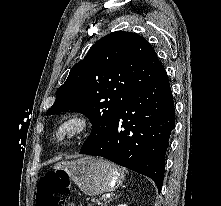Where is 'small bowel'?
<instances>
[{
	"instance_id": "obj_1",
	"label": "small bowel",
	"mask_w": 221,
	"mask_h": 206,
	"mask_svg": "<svg viewBox=\"0 0 221 206\" xmlns=\"http://www.w3.org/2000/svg\"><path fill=\"white\" fill-rule=\"evenodd\" d=\"M68 206H76L74 203H69Z\"/></svg>"
}]
</instances>
